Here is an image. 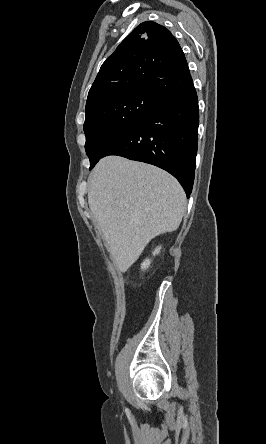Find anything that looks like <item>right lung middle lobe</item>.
<instances>
[{
    "label": "right lung middle lobe",
    "mask_w": 266,
    "mask_h": 444,
    "mask_svg": "<svg viewBox=\"0 0 266 444\" xmlns=\"http://www.w3.org/2000/svg\"><path fill=\"white\" fill-rule=\"evenodd\" d=\"M159 100L155 94L133 91L105 99L86 110L85 149L90 170L102 158L109 144L138 125Z\"/></svg>",
    "instance_id": "right-lung-middle-lobe-1"
}]
</instances>
